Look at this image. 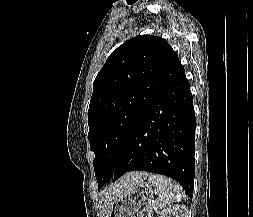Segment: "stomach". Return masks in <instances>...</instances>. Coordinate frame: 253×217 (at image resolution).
<instances>
[{
  "label": "stomach",
  "instance_id": "1",
  "mask_svg": "<svg viewBox=\"0 0 253 217\" xmlns=\"http://www.w3.org/2000/svg\"><path fill=\"white\" fill-rule=\"evenodd\" d=\"M155 193L151 183L142 181L113 201L108 217H152Z\"/></svg>",
  "mask_w": 253,
  "mask_h": 217
}]
</instances>
